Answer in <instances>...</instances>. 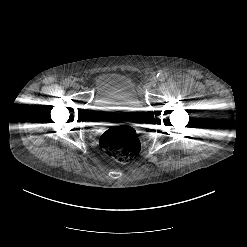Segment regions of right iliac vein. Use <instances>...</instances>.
Here are the masks:
<instances>
[{
  "label": "right iliac vein",
  "mask_w": 247,
  "mask_h": 247,
  "mask_svg": "<svg viewBox=\"0 0 247 247\" xmlns=\"http://www.w3.org/2000/svg\"><path fill=\"white\" fill-rule=\"evenodd\" d=\"M73 88H74L75 90H78V89L80 88V85H79L78 83H74V84H73Z\"/></svg>",
  "instance_id": "63e3f726"
}]
</instances>
